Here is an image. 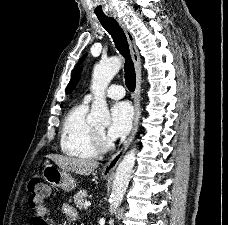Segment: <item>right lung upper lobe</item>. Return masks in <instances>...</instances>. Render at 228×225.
Instances as JSON below:
<instances>
[{
    "instance_id": "right-lung-upper-lobe-1",
    "label": "right lung upper lobe",
    "mask_w": 228,
    "mask_h": 225,
    "mask_svg": "<svg viewBox=\"0 0 228 225\" xmlns=\"http://www.w3.org/2000/svg\"><path fill=\"white\" fill-rule=\"evenodd\" d=\"M80 72H81V70H80ZM80 72H79V74H78V79H77V81L79 80V78H80Z\"/></svg>"
}]
</instances>
